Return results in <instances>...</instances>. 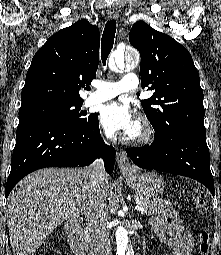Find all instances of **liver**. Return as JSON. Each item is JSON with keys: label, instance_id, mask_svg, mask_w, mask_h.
<instances>
[{"label": "liver", "instance_id": "liver-1", "mask_svg": "<svg viewBox=\"0 0 221 255\" xmlns=\"http://www.w3.org/2000/svg\"><path fill=\"white\" fill-rule=\"evenodd\" d=\"M108 177L94 184L89 167L47 168L24 177L6 205L13 255H34L47 236L70 217L85 214L95 196L106 201Z\"/></svg>", "mask_w": 221, "mask_h": 255}]
</instances>
